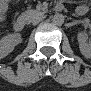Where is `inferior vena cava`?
I'll list each match as a JSON object with an SVG mask.
<instances>
[{
	"label": "inferior vena cava",
	"mask_w": 91,
	"mask_h": 91,
	"mask_svg": "<svg viewBox=\"0 0 91 91\" xmlns=\"http://www.w3.org/2000/svg\"><path fill=\"white\" fill-rule=\"evenodd\" d=\"M43 19H44V16L39 15L38 17L33 19L32 23H33V25H36V24H38Z\"/></svg>",
	"instance_id": "obj_1"
}]
</instances>
